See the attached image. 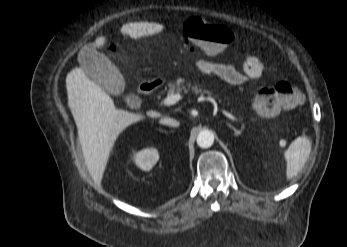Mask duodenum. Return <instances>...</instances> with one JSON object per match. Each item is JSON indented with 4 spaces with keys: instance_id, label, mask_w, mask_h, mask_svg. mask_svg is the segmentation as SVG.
Instances as JSON below:
<instances>
[{
    "instance_id": "410a0bca",
    "label": "duodenum",
    "mask_w": 347,
    "mask_h": 247,
    "mask_svg": "<svg viewBox=\"0 0 347 247\" xmlns=\"http://www.w3.org/2000/svg\"><path fill=\"white\" fill-rule=\"evenodd\" d=\"M160 81L143 82L138 87V92L143 95L151 94L158 86Z\"/></svg>"
}]
</instances>
